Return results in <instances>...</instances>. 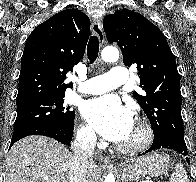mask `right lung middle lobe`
<instances>
[{"mask_svg": "<svg viewBox=\"0 0 196 182\" xmlns=\"http://www.w3.org/2000/svg\"><path fill=\"white\" fill-rule=\"evenodd\" d=\"M64 96L43 97L17 104L14 129L35 123H52L73 129L75 112L64 104Z\"/></svg>", "mask_w": 196, "mask_h": 182, "instance_id": "obj_1", "label": "right lung middle lobe"}]
</instances>
